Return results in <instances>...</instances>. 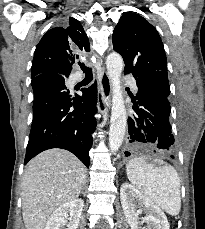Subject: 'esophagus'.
<instances>
[{"instance_id":"esophagus-1","label":"esophagus","mask_w":205,"mask_h":229,"mask_svg":"<svg viewBox=\"0 0 205 229\" xmlns=\"http://www.w3.org/2000/svg\"><path fill=\"white\" fill-rule=\"evenodd\" d=\"M111 105V80L107 72L103 69L98 82V111L106 115L109 113Z\"/></svg>"}]
</instances>
